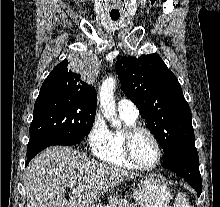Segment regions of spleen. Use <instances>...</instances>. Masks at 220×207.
Here are the masks:
<instances>
[{
  "instance_id": "3e777b00",
  "label": "spleen",
  "mask_w": 220,
  "mask_h": 207,
  "mask_svg": "<svg viewBox=\"0 0 220 207\" xmlns=\"http://www.w3.org/2000/svg\"><path fill=\"white\" fill-rule=\"evenodd\" d=\"M174 207H192V206L189 204V200L188 198H186V195L184 193H178L175 199Z\"/></svg>"
}]
</instances>
